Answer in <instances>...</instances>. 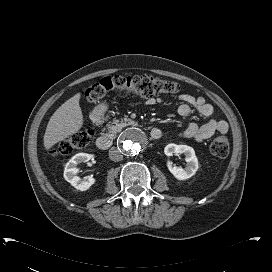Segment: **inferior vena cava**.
Listing matches in <instances>:
<instances>
[{
  "instance_id": "1",
  "label": "inferior vena cava",
  "mask_w": 272,
  "mask_h": 272,
  "mask_svg": "<svg viewBox=\"0 0 272 272\" xmlns=\"http://www.w3.org/2000/svg\"><path fill=\"white\" fill-rule=\"evenodd\" d=\"M109 158L112 161L118 162L121 161L123 159V155L121 153V151L119 149H117L116 147H112L109 150Z\"/></svg>"
}]
</instances>
